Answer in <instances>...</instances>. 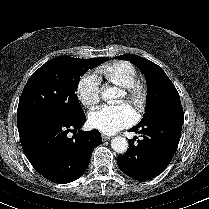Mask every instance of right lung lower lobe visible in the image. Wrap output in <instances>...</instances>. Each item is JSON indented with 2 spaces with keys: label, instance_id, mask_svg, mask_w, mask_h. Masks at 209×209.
Masks as SVG:
<instances>
[{
  "label": "right lung lower lobe",
  "instance_id": "1",
  "mask_svg": "<svg viewBox=\"0 0 209 209\" xmlns=\"http://www.w3.org/2000/svg\"><path fill=\"white\" fill-rule=\"evenodd\" d=\"M85 120L83 113L66 120L36 123L19 132L23 151L39 174L54 183L65 184L84 173L93 149L102 142L99 131L80 130ZM73 131L77 134L69 138L67 134Z\"/></svg>",
  "mask_w": 209,
  "mask_h": 209
}]
</instances>
